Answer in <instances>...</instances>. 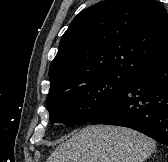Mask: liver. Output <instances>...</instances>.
<instances>
[{
  "label": "liver",
  "mask_w": 168,
  "mask_h": 162,
  "mask_svg": "<svg viewBox=\"0 0 168 162\" xmlns=\"http://www.w3.org/2000/svg\"><path fill=\"white\" fill-rule=\"evenodd\" d=\"M156 142L126 127L88 126L61 143L46 162H143Z\"/></svg>",
  "instance_id": "obj_1"
}]
</instances>
